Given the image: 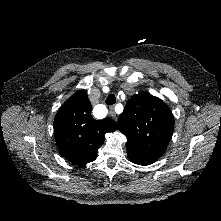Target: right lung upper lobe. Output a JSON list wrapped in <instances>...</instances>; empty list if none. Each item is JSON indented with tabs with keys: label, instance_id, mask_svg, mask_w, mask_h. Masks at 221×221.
<instances>
[{
	"label": "right lung upper lobe",
	"instance_id": "1",
	"mask_svg": "<svg viewBox=\"0 0 221 221\" xmlns=\"http://www.w3.org/2000/svg\"><path fill=\"white\" fill-rule=\"evenodd\" d=\"M86 91L79 90L58 110L54 119V136L59 153L73 164L94 161L104 142V135L114 132L111 118L95 120Z\"/></svg>",
	"mask_w": 221,
	"mask_h": 221
}]
</instances>
